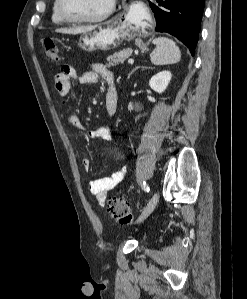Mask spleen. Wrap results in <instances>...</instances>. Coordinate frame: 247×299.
I'll return each mask as SVG.
<instances>
[{
    "instance_id": "3e777b00",
    "label": "spleen",
    "mask_w": 247,
    "mask_h": 299,
    "mask_svg": "<svg viewBox=\"0 0 247 299\" xmlns=\"http://www.w3.org/2000/svg\"><path fill=\"white\" fill-rule=\"evenodd\" d=\"M155 49L150 54L154 65L175 64L180 61L181 53L176 43L166 37H158L153 40Z\"/></svg>"
}]
</instances>
